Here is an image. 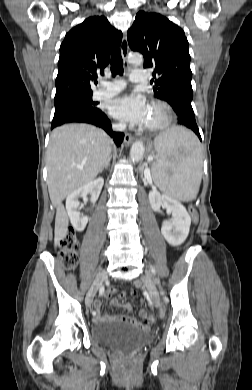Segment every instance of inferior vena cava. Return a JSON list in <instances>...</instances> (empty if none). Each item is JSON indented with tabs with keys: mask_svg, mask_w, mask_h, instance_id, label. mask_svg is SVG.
I'll return each instance as SVG.
<instances>
[{
	"mask_svg": "<svg viewBox=\"0 0 252 390\" xmlns=\"http://www.w3.org/2000/svg\"><path fill=\"white\" fill-rule=\"evenodd\" d=\"M113 129L116 131H124L126 129V125L124 123L113 125Z\"/></svg>",
	"mask_w": 252,
	"mask_h": 390,
	"instance_id": "obj_1",
	"label": "inferior vena cava"
}]
</instances>
